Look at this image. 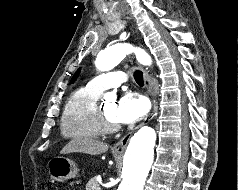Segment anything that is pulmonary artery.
<instances>
[{"label":"pulmonary artery","instance_id":"obj_1","mask_svg":"<svg viewBox=\"0 0 238 190\" xmlns=\"http://www.w3.org/2000/svg\"><path fill=\"white\" fill-rule=\"evenodd\" d=\"M125 81L126 75L124 72L112 71L96 76L88 82L87 86L101 93L106 89L119 87Z\"/></svg>","mask_w":238,"mask_h":190}]
</instances>
